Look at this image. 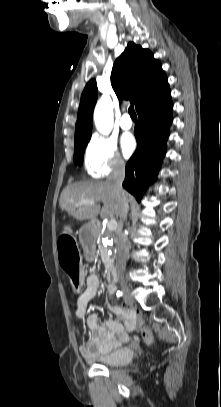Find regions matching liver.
<instances>
[{"mask_svg":"<svg viewBox=\"0 0 221 407\" xmlns=\"http://www.w3.org/2000/svg\"><path fill=\"white\" fill-rule=\"evenodd\" d=\"M81 200H93L98 205L83 204L76 206ZM60 208L77 220H95L120 217V203L107 182H79L67 186L59 199Z\"/></svg>","mask_w":221,"mask_h":407,"instance_id":"liver-1","label":"liver"}]
</instances>
